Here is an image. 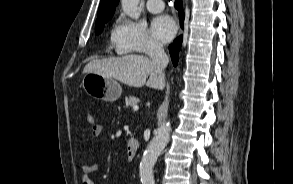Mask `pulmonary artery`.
<instances>
[{"mask_svg": "<svg viewBox=\"0 0 293 184\" xmlns=\"http://www.w3.org/2000/svg\"><path fill=\"white\" fill-rule=\"evenodd\" d=\"M146 7L151 13H160L164 9V3L162 0H148Z\"/></svg>", "mask_w": 293, "mask_h": 184, "instance_id": "e3ab8cb5", "label": "pulmonary artery"}]
</instances>
